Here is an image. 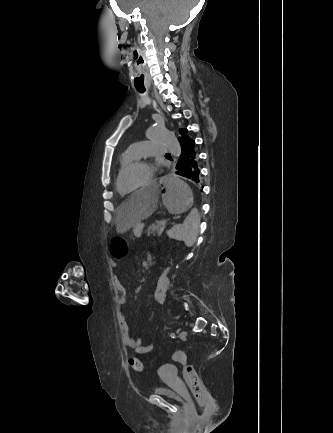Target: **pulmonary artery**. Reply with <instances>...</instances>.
I'll list each match as a JSON object with an SVG mask.
<instances>
[{"instance_id":"pulmonary-artery-1","label":"pulmonary artery","mask_w":333,"mask_h":433,"mask_svg":"<svg viewBox=\"0 0 333 433\" xmlns=\"http://www.w3.org/2000/svg\"><path fill=\"white\" fill-rule=\"evenodd\" d=\"M168 146L157 141H142L131 144L128 151L135 157L164 155Z\"/></svg>"}]
</instances>
